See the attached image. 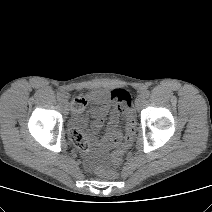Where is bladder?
Masks as SVG:
<instances>
[{
  "instance_id": "31cf9c89",
  "label": "bladder",
  "mask_w": 212,
  "mask_h": 212,
  "mask_svg": "<svg viewBox=\"0 0 212 212\" xmlns=\"http://www.w3.org/2000/svg\"><path fill=\"white\" fill-rule=\"evenodd\" d=\"M73 120L80 126L84 125V123H85V118H84V115L82 112L74 113Z\"/></svg>"
}]
</instances>
